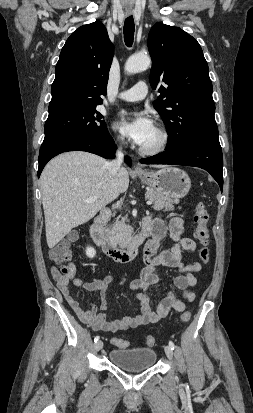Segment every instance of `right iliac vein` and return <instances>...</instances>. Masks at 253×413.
I'll list each match as a JSON object with an SVG mask.
<instances>
[{
	"mask_svg": "<svg viewBox=\"0 0 253 413\" xmlns=\"http://www.w3.org/2000/svg\"><path fill=\"white\" fill-rule=\"evenodd\" d=\"M102 347H103V342H102V341H98V342H96V344L94 345L95 351H97V352H98L99 350H101Z\"/></svg>",
	"mask_w": 253,
	"mask_h": 413,
	"instance_id": "63e3f726",
	"label": "right iliac vein"
}]
</instances>
